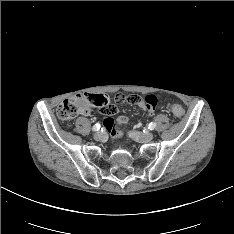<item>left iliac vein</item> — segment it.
I'll list each match as a JSON object with an SVG mask.
<instances>
[{"instance_id": "1", "label": "left iliac vein", "mask_w": 234, "mask_h": 234, "mask_svg": "<svg viewBox=\"0 0 234 234\" xmlns=\"http://www.w3.org/2000/svg\"><path fill=\"white\" fill-rule=\"evenodd\" d=\"M130 136L135 141L140 142V143L150 142L154 137L153 133H151V132L141 133V132H137V131L130 132Z\"/></svg>"}]
</instances>
